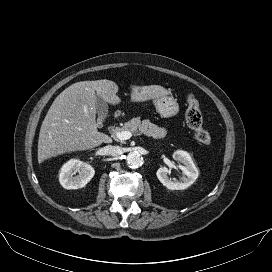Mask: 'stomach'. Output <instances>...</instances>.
<instances>
[{
  "label": "stomach",
  "instance_id": "1",
  "mask_svg": "<svg viewBox=\"0 0 272 272\" xmlns=\"http://www.w3.org/2000/svg\"><path fill=\"white\" fill-rule=\"evenodd\" d=\"M157 112L163 117H173L179 112L177 100L170 96H162L153 100Z\"/></svg>",
  "mask_w": 272,
  "mask_h": 272
}]
</instances>
